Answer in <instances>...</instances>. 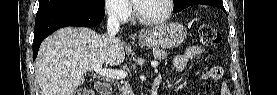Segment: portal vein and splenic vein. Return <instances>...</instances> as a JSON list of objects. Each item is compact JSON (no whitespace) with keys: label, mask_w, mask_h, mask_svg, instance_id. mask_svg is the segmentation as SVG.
Instances as JSON below:
<instances>
[{"label":"portal vein and splenic vein","mask_w":277,"mask_h":95,"mask_svg":"<svg viewBox=\"0 0 277 95\" xmlns=\"http://www.w3.org/2000/svg\"><path fill=\"white\" fill-rule=\"evenodd\" d=\"M157 61H152L151 66L156 68L158 66ZM95 74H98L102 77L106 78H113L117 80H122L127 76V72L122 71V70H109V69H103L102 64H97L93 68Z\"/></svg>","instance_id":"obj_1"}]
</instances>
